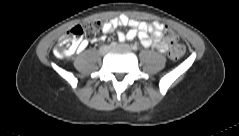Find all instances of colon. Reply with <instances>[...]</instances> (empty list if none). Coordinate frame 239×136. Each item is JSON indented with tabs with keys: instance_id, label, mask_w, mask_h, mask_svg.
Wrapping results in <instances>:
<instances>
[{
	"instance_id": "colon-1",
	"label": "colon",
	"mask_w": 239,
	"mask_h": 136,
	"mask_svg": "<svg viewBox=\"0 0 239 136\" xmlns=\"http://www.w3.org/2000/svg\"><path fill=\"white\" fill-rule=\"evenodd\" d=\"M101 29V22L98 20H89L82 25L74 26L67 31L59 40L55 49L58 57H66L78 49L84 35L88 37L96 36ZM166 39L171 43L169 57L173 61L182 58L185 53V47L179 44L178 35L171 29L166 28L164 31Z\"/></svg>"
}]
</instances>
